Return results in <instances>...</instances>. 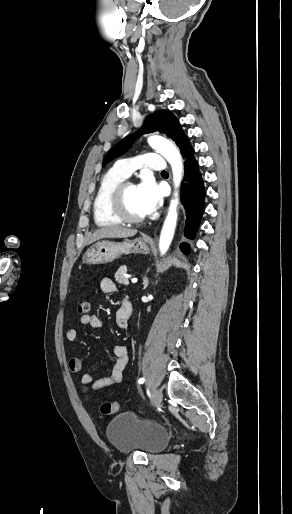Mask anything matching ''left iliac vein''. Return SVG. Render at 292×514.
Listing matches in <instances>:
<instances>
[{
    "label": "left iliac vein",
    "instance_id": "left-iliac-vein-1",
    "mask_svg": "<svg viewBox=\"0 0 292 514\" xmlns=\"http://www.w3.org/2000/svg\"><path fill=\"white\" fill-rule=\"evenodd\" d=\"M152 405L154 407H158L161 402H162V398H163V395H162V391L160 389H155L153 391V395H152Z\"/></svg>",
    "mask_w": 292,
    "mask_h": 514
}]
</instances>
